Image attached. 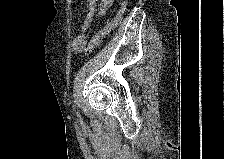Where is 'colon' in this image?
Instances as JSON below:
<instances>
[{
  "label": "colon",
  "mask_w": 225,
  "mask_h": 159,
  "mask_svg": "<svg viewBox=\"0 0 225 159\" xmlns=\"http://www.w3.org/2000/svg\"><path fill=\"white\" fill-rule=\"evenodd\" d=\"M127 9V1H123L116 15L111 19L89 42L85 48L86 55L91 54L94 49L104 40L119 24Z\"/></svg>",
  "instance_id": "1"
}]
</instances>
